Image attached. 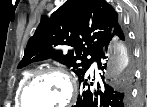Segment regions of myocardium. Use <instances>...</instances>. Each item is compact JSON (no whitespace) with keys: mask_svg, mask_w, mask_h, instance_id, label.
Masks as SVG:
<instances>
[{"mask_svg":"<svg viewBox=\"0 0 147 107\" xmlns=\"http://www.w3.org/2000/svg\"><path fill=\"white\" fill-rule=\"evenodd\" d=\"M47 74H54V75L61 76L63 79H65L69 88L68 97L65 100V102L55 107H67L73 103L77 93L76 83L74 79L61 68L48 67V68L37 70L34 73H32L30 77L28 78V80L23 85L19 94V103L22 107H30L27 105V102H26V93L28 89L40 76L47 75Z\"/></svg>","mask_w":147,"mask_h":107,"instance_id":"f54148a6","label":"myocardium"}]
</instances>
